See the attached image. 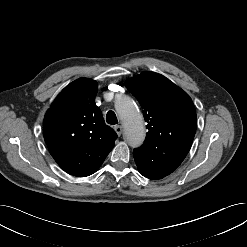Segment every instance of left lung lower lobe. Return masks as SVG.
Instances as JSON below:
<instances>
[{
	"label": "left lung lower lobe",
	"instance_id": "left-lung-lower-lobe-1",
	"mask_svg": "<svg viewBox=\"0 0 247 247\" xmlns=\"http://www.w3.org/2000/svg\"><path fill=\"white\" fill-rule=\"evenodd\" d=\"M139 172L149 179H161L172 173L180 164L171 161H152L150 164L136 161Z\"/></svg>",
	"mask_w": 247,
	"mask_h": 247
}]
</instances>
